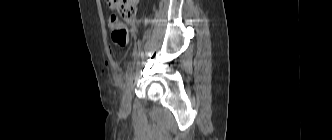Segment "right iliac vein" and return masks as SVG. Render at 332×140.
I'll list each match as a JSON object with an SVG mask.
<instances>
[{"instance_id":"1","label":"right iliac vein","mask_w":332,"mask_h":140,"mask_svg":"<svg viewBox=\"0 0 332 140\" xmlns=\"http://www.w3.org/2000/svg\"><path fill=\"white\" fill-rule=\"evenodd\" d=\"M132 92H133V81L129 80L127 88L123 95L122 107L123 110L129 112L131 109V101H132Z\"/></svg>"}]
</instances>
